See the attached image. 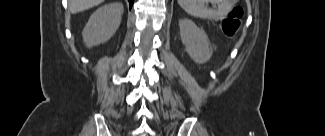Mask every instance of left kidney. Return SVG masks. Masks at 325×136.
<instances>
[{
	"label": "left kidney",
	"instance_id": "1",
	"mask_svg": "<svg viewBox=\"0 0 325 136\" xmlns=\"http://www.w3.org/2000/svg\"><path fill=\"white\" fill-rule=\"evenodd\" d=\"M180 36L189 56L197 63L210 60L212 51L209 48L208 36L202 28L197 27L189 19L179 20Z\"/></svg>",
	"mask_w": 325,
	"mask_h": 136
}]
</instances>
